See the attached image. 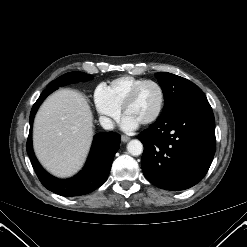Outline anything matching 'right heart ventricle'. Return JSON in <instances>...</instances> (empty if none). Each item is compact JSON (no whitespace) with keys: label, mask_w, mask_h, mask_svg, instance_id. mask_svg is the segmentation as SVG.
Wrapping results in <instances>:
<instances>
[{"label":"right heart ventricle","mask_w":247,"mask_h":247,"mask_svg":"<svg viewBox=\"0 0 247 247\" xmlns=\"http://www.w3.org/2000/svg\"><path fill=\"white\" fill-rule=\"evenodd\" d=\"M142 81L144 79L126 75L112 80L106 88L112 101L121 108L132 89Z\"/></svg>","instance_id":"right-heart-ventricle-1"}]
</instances>
